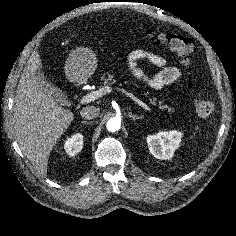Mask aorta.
Masks as SVG:
<instances>
[{"mask_svg": "<svg viewBox=\"0 0 236 236\" xmlns=\"http://www.w3.org/2000/svg\"><path fill=\"white\" fill-rule=\"evenodd\" d=\"M120 129V121L117 118H111L107 122V130L116 132Z\"/></svg>", "mask_w": 236, "mask_h": 236, "instance_id": "1", "label": "aorta"}]
</instances>
